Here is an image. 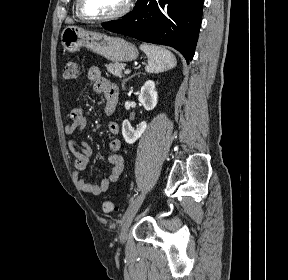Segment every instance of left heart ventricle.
Returning <instances> with one entry per match:
<instances>
[{"label": "left heart ventricle", "instance_id": "obj_1", "mask_svg": "<svg viewBox=\"0 0 288 280\" xmlns=\"http://www.w3.org/2000/svg\"><path fill=\"white\" fill-rule=\"evenodd\" d=\"M126 0H83V10L91 17H103L119 11Z\"/></svg>", "mask_w": 288, "mask_h": 280}]
</instances>
